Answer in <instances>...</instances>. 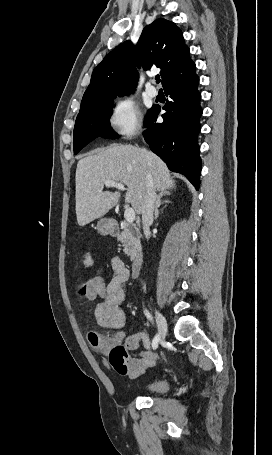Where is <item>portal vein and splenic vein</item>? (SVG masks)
<instances>
[{
	"instance_id": "portal-vein-and-splenic-vein-1",
	"label": "portal vein and splenic vein",
	"mask_w": 272,
	"mask_h": 455,
	"mask_svg": "<svg viewBox=\"0 0 272 455\" xmlns=\"http://www.w3.org/2000/svg\"><path fill=\"white\" fill-rule=\"evenodd\" d=\"M104 184H105L106 187H116V188H118L120 190H124L125 189L124 185L122 183H119V182H116V181H113V180L105 181ZM124 217H125L127 222L133 223L134 220H135V217H136L135 211L132 208H126L125 212H124Z\"/></svg>"
}]
</instances>
